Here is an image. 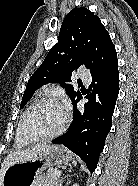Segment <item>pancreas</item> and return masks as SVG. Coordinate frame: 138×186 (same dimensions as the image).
Returning a JSON list of instances; mask_svg holds the SVG:
<instances>
[{"mask_svg": "<svg viewBox=\"0 0 138 186\" xmlns=\"http://www.w3.org/2000/svg\"><path fill=\"white\" fill-rule=\"evenodd\" d=\"M55 171L56 170H49L46 173L39 174L34 181V186H58V177H52Z\"/></svg>", "mask_w": 138, "mask_h": 186, "instance_id": "pancreas-1", "label": "pancreas"}]
</instances>
